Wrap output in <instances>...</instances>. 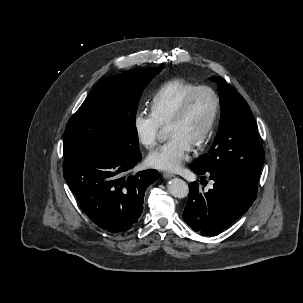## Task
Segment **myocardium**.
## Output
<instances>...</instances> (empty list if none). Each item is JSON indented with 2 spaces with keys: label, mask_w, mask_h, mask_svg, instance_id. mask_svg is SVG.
Masks as SVG:
<instances>
[{
  "label": "myocardium",
  "mask_w": 303,
  "mask_h": 303,
  "mask_svg": "<svg viewBox=\"0 0 303 303\" xmlns=\"http://www.w3.org/2000/svg\"><path fill=\"white\" fill-rule=\"evenodd\" d=\"M200 91H207L212 95V97L214 99V110H213L211 119H210L205 131L194 144L195 148H201L207 142V140L211 136V134L216 126V123L218 121V118H219V114H220V110H221V101H220V97H219L218 93L212 87L207 86V85H199V86H196L195 88H193L191 91H189L185 95V97L183 98L181 103L179 104L176 111L170 117L169 121L167 122V125H169L171 123L181 120L187 113L192 99Z\"/></svg>",
  "instance_id": "f54148a6"
}]
</instances>
